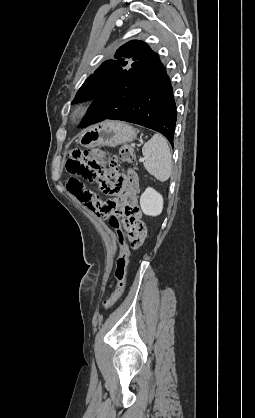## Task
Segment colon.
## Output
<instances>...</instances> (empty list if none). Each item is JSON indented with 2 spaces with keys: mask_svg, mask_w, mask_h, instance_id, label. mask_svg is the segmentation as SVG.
<instances>
[{
  "mask_svg": "<svg viewBox=\"0 0 255 418\" xmlns=\"http://www.w3.org/2000/svg\"><path fill=\"white\" fill-rule=\"evenodd\" d=\"M119 156L124 163L133 161V152L128 146H123L120 149ZM66 170L72 175L67 181L70 193L92 210L94 216H98L101 219L108 217L111 226L119 234L120 257L117 260L115 269L116 289L103 304L105 309H109L124 292L127 264L130 261L129 257L132 255L128 237L125 234H121V230L123 228H145L141 219V211L137 206H134L125 212V219L122 220L118 213V200L116 198L100 199L95 192L87 189L78 178L80 177L90 183H96L99 190L105 194H113V185L111 184L113 167L108 163V157L100 150L71 149L66 163Z\"/></svg>",
  "mask_w": 255,
  "mask_h": 418,
  "instance_id": "colon-1",
  "label": "colon"
}]
</instances>
